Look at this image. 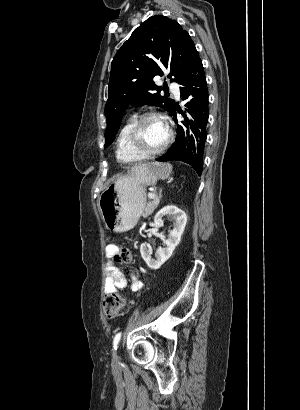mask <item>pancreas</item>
I'll return each instance as SVG.
<instances>
[{
  "label": "pancreas",
  "instance_id": "obj_1",
  "mask_svg": "<svg viewBox=\"0 0 300 410\" xmlns=\"http://www.w3.org/2000/svg\"><path fill=\"white\" fill-rule=\"evenodd\" d=\"M159 199L155 198L152 201H148L145 203L144 209H143V217L149 216L155 208L158 206Z\"/></svg>",
  "mask_w": 300,
  "mask_h": 410
}]
</instances>
